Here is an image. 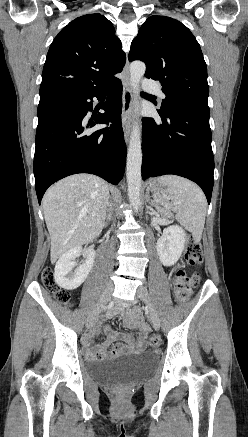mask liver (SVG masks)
Here are the masks:
<instances>
[{
    "label": "liver",
    "mask_w": 248,
    "mask_h": 437,
    "mask_svg": "<svg viewBox=\"0 0 248 437\" xmlns=\"http://www.w3.org/2000/svg\"><path fill=\"white\" fill-rule=\"evenodd\" d=\"M108 202V184L90 174L69 176L47 190L42 203L51 238L52 263L100 235Z\"/></svg>",
    "instance_id": "liver-1"
}]
</instances>
